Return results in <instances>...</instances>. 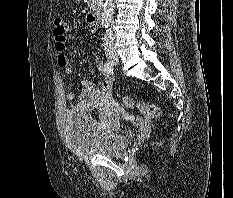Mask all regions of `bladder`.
I'll use <instances>...</instances> for the list:
<instances>
[{
	"instance_id": "31cf9c89",
	"label": "bladder",
	"mask_w": 233,
	"mask_h": 198,
	"mask_svg": "<svg viewBox=\"0 0 233 198\" xmlns=\"http://www.w3.org/2000/svg\"><path fill=\"white\" fill-rule=\"evenodd\" d=\"M65 131L70 146L82 154L118 156L132 135L120 128V110L114 109L99 120L78 111L65 115Z\"/></svg>"
}]
</instances>
